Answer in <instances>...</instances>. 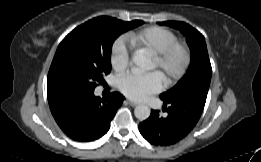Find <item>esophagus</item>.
<instances>
[{
	"mask_svg": "<svg viewBox=\"0 0 261 162\" xmlns=\"http://www.w3.org/2000/svg\"><path fill=\"white\" fill-rule=\"evenodd\" d=\"M125 102L128 103L131 106H136L137 105V103H135V102H133L131 100H128V99H126Z\"/></svg>",
	"mask_w": 261,
	"mask_h": 162,
	"instance_id": "esophagus-1",
	"label": "esophagus"
}]
</instances>
